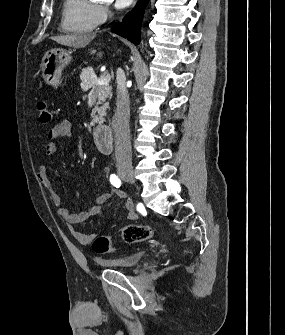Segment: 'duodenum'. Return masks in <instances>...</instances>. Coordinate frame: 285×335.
<instances>
[{"label": "duodenum", "instance_id": "obj_1", "mask_svg": "<svg viewBox=\"0 0 285 335\" xmlns=\"http://www.w3.org/2000/svg\"><path fill=\"white\" fill-rule=\"evenodd\" d=\"M93 139L97 148L105 154H110L114 147V136L111 128L105 125H96L92 130Z\"/></svg>", "mask_w": 285, "mask_h": 335}]
</instances>
